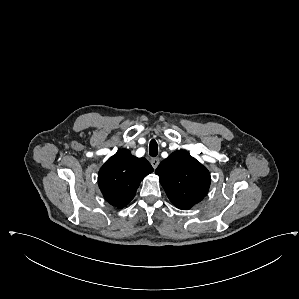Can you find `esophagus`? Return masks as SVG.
<instances>
[{"label":"esophagus","instance_id":"34e87169","mask_svg":"<svg viewBox=\"0 0 299 299\" xmlns=\"http://www.w3.org/2000/svg\"><path fill=\"white\" fill-rule=\"evenodd\" d=\"M152 167L154 169H156L160 163V159L159 158H152L151 161H150Z\"/></svg>","mask_w":299,"mask_h":299}]
</instances>
